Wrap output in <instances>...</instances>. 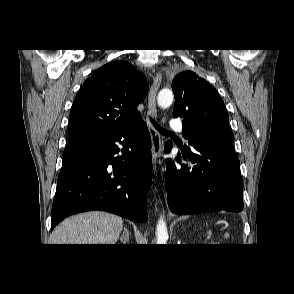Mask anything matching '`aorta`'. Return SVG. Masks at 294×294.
Instances as JSON below:
<instances>
[{
    "label": "aorta",
    "mask_w": 294,
    "mask_h": 294,
    "mask_svg": "<svg viewBox=\"0 0 294 294\" xmlns=\"http://www.w3.org/2000/svg\"><path fill=\"white\" fill-rule=\"evenodd\" d=\"M173 93L169 89H163L159 92L158 97H157V103L158 106L161 108H168L172 105L173 103ZM168 230H167V225L164 220V217H160L158 220L157 228H156V241L157 244H162L165 245L167 244L168 241Z\"/></svg>",
    "instance_id": "1"
}]
</instances>
